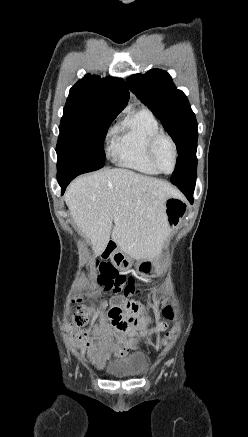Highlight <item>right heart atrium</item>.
I'll return each mask as SVG.
<instances>
[{
  "label": "right heart atrium",
  "mask_w": 248,
  "mask_h": 437,
  "mask_svg": "<svg viewBox=\"0 0 248 437\" xmlns=\"http://www.w3.org/2000/svg\"><path fill=\"white\" fill-rule=\"evenodd\" d=\"M113 134V129H109L107 134H106V139L110 138Z\"/></svg>",
  "instance_id": "obj_1"
}]
</instances>
